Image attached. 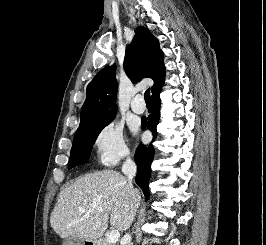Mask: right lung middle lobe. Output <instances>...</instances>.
Masks as SVG:
<instances>
[{"mask_svg": "<svg viewBox=\"0 0 266 245\" xmlns=\"http://www.w3.org/2000/svg\"><path fill=\"white\" fill-rule=\"evenodd\" d=\"M115 113L80 123L74 136L68 168L86 162L101 130L113 121Z\"/></svg>", "mask_w": 266, "mask_h": 245, "instance_id": "right-lung-middle-lobe-1", "label": "right lung middle lobe"}]
</instances>
